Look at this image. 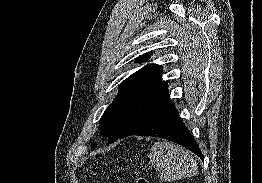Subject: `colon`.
Segmentation results:
<instances>
[{"mask_svg": "<svg viewBox=\"0 0 262 183\" xmlns=\"http://www.w3.org/2000/svg\"><path fill=\"white\" fill-rule=\"evenodd\" d=\"M134 183H150L149 179L143 176L136 177Z\"/></svg>", "mask_w": 262, "mask_h": 183, "instance_id": "1", "label": "colon"}]
</instances>
